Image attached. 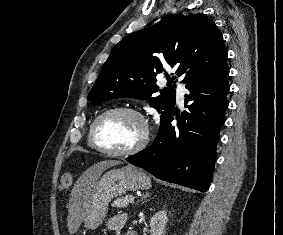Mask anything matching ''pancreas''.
Wrapping results in <instances>:
<instances>
[{
	"label": "pancreas",
	"instance_id": "cf45deb5",
	"mask_svg": "<svg viewBox=\"0 0 283 235\" xmlns=\"http://www.w3.org/2000/svg\"><path fill=\"white\" fill-rule=\"evenodd\" d=\"M131 198H133V196L131 195H126L124 197L117 198L113 201L112 206L117 207V208L127 207L129 203L132 202Z\"/></svg>",
	"mask_w": 283,
	"mask_h": 235
}]
</instances>
